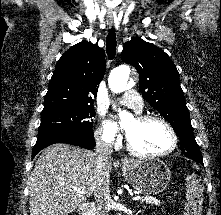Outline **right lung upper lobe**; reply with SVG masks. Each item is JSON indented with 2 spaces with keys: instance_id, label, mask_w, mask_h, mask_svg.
Masks as SVG:
<instances>
[{
  "instance_id": "1",
  "label": "right lung upper lobe",
  "mask_w": 221,
  "mask_h": 215,
  "mask_svg": "<svg viewBox=\"0 0 221 215\" xmlns=\"http://www.w3.org/2000/svg\"><path fill=\"white\" fill-rule=\"evenodd\" d=\"M105 70L102 48L87 41L72 46L56 64L41 114L93 107Z\"/></svg>"
}]
</instances>
